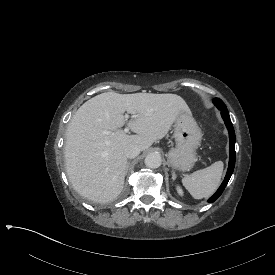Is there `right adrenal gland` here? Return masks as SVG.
<instances>
[{
	"mask_svg": "<svg viewBox=\"0 0 275 275\" xmlns=\"http://www.w3.org/2000/svg\"><path fill=\"white\" fill-rule=\"evenodd\" d=\"M129 165H130V161L127 162V168L129 167Z\"/></svg>",
	"mask_w": 275,
	"mask_h": 275,
	"instance_id": "1",
	"label": "right adrenal gland"
}]
</instances>
